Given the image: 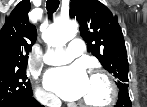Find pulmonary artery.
<instances>
[{
	"instance_id": "obj_1",
	"label": "pulmonary artery",
	"mask_w": 147,
	"mask_h": 107,
	"mask_svg": "<svg viewBox=\"0 0 147 107\" xmlns=\"http://www.w3.org/2000/svg\"><path fill=\"white\" fill-rule=\"evenodd\" d=\"M83 41L80 38L73 39L64 50H52L45 54L44 62L50 65L65 64L82 54Z\"/></svg>"
}]
</instances>
